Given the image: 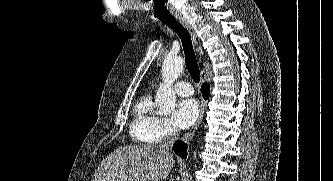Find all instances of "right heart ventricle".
<instances>
[{
    "mask_svg": "<svg viewBox=\"0 0 333 181\" xmlns=\"http://www.w3.org/2000/svg\"><path fill=\"white\" fill-rule=\"evenodd\" d=\"M159 119L152 97L146 95L140 98L133 108V121L130 127L133 140L140 143L159 142L156 132Z\"/></svg>",
    "mask_w": 333,
    "mask_h": 181,
    "instance_id": "e07e8e85",
    "label": "right heart ventricle"
}]
</instances>
